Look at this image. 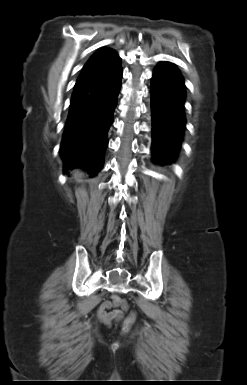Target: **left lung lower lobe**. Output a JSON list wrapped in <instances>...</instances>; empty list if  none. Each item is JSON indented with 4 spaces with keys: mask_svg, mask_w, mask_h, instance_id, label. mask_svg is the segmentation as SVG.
Returning a JSON list of instances; mask_svg holds the SVG:
<instances>
[{
    "mask_svg": "<svg viewBox=\"0 0 247 385\" xmlns=\"http://www.w3.org/2000/svg\"><path fill=\"white\" fill-rule=\"evenodd\" d=\"M185 84L170 62L155 68L151 83V111L154 159L171 162L181 145L186 119Z\"/></svg>",
    "mask_w": 247,
    "mask_h": 385,
    "instance_id": "1",
    "label": "left lung lower lobe"
}]
</instances>
